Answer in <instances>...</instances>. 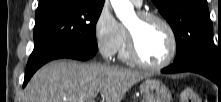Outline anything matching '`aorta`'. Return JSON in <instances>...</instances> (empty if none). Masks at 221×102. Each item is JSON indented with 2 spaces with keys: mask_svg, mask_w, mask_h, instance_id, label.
I'll return each instance as SVG.
<instances>
[{
  "mask_svg": "<svg viewBox=\"0 0 221 102\" xmlns=\"http://www.w3.org/2000/svg\"><path fill=\"white\" fill-rule=\"evenodd\" d=\"M116 17L122 22L132 18L135 14L130 0H110Z\"/></svg>",
  "mask_w": 221,
  "mask_h": 102,
  "instance_id": "1",
  "label": "aorta"
}]
</instances>
